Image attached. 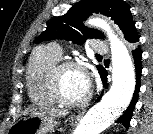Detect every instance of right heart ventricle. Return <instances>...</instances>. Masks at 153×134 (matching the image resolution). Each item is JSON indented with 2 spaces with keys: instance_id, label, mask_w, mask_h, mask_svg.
Wrapping results in <instances>:
<instances>
[{
  "instance_id": "right-heart-ventricle-1",
  "label": "right heart ventricle",
  "mask_w": 153,
  "mask_h": 134,
  "mask_svg": "<svg viewBox=\"0 0 153 134\" xmlns=\"http://www.w3.org/2000/svg\"><path fill=\"white\" fill-rule=\"evenodd\" d=\"M60 60L52 47H38L31 54L26 69V87L30 100L39 106H51L57 102L49 90L48 74Z\"/></svg>"
}]
</instances>
